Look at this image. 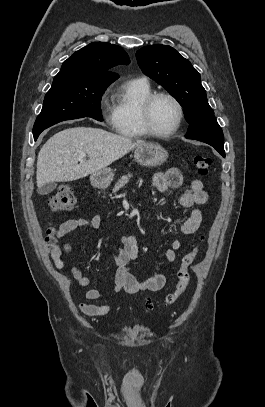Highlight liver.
Returning <instances> with one entry per match:
<instances>
[{
    "mask_svg": "<svg viewBox=\"0 0 265 407\" xmlns=\"http://www.w3.org/2000/svg\"><path fill=\"white\" fill-rule=\"evenodd\" d=\"M143 140L133 141L98 128L74 127L60 131L42 146L37 158L36 182H69L107 168ZM88 155V160L79 159ZM80 162V163H78Z\"/></svg>",
    "mask_w": 265,
    "mask_h": 407,
    "instance_id": "1",
    "label": "liver"
}]
</instances>
